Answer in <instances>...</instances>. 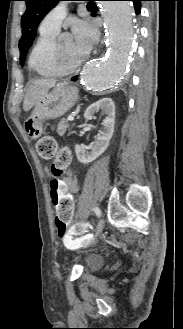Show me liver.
<instances>
[{"mask_svg":"<svg viewBox=\"0 0 183 329\" xmlns=\"http://www.w3.org/2000/svg\"><path fill=\"white\" fill-rule=\"evenodd\" d=\"M56 81L49 79H37L29 85L23 101V109L29 111L39 99L48 93L54 87Z\"/></svg>","mask_w":183,"mask_h":329,"instance_id":"obj_1","label":"liver"}]
</instances>
